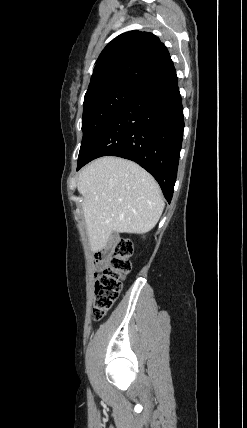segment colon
<instances>
[{
    "mask_svg": "<svg viewBox=\"0 0 247 428\" xmlns=\"http://www.w3.org/2000/svg\"><path fill=\"white\" fill-rule=\"evenodd\" d=\"M133 247L130 240L120 238L113 247L96 253L100 272L95 280L93 318L100 320L118 298L125 276L131 270Z\"/></svg>",
    "mask_w": 247,
    "mask_h": 428,
    "instance_id": "colon-1",
    "label": "colon"
}]
</instances>
